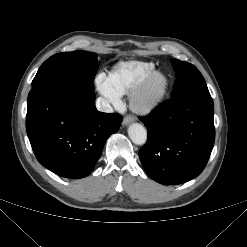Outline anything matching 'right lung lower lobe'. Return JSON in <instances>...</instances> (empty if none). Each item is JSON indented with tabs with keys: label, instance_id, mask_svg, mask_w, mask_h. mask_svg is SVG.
I'll return each mask as SVG.
<instances>
[{
	"label": "right lung lower lobe",
	"instance_id": "98d812e1",
	"mask_svg": "<svg viewBox=\"0 0 247 247\" xmlns=\"http://www.w3.org/2000/svg\"><path fill=\"white\" fill-rule=\"evenodd\" d=\"M123 118L95 107V94L60 84L32 88L26 130L41 165L71 179L90 174Z\"/></svg>",
	"mask_w": 247,
	"mask_h": 247
}]
</instances>
